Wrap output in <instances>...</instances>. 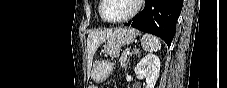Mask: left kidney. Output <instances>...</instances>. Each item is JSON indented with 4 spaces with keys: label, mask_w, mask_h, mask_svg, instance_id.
Instances as JSON below:
<instances>
[{
    "label": "left kidney",
    "mask_w": 227,
    "mask_h": 88,
    "mask_svg": "<svg viewBox=\"0 0 227 88\" xmlns=\"http://www.w3.org/2000/svg\"><path fill=\"white\" fill-rule=\"evenodd\" d=\"M135 73L146 79V88H154L160 72V59L154 54L143 57L134 69Z\"/></svg>",
    "instance_id": "obj_1"
}]
</instances>
